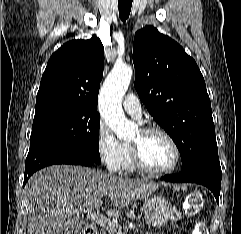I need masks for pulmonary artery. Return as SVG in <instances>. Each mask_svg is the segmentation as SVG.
I'll use <instances>...</instances> for the list:
<instances>
[{"mask_svg": "<svg viewBox=\"0 0 241 234\" xmlns=\"http://www.w3.org/2000/svg\"><path fill=\"white\" fill-rule=\"evenodd\" d=\"M123 107L125 111L136 119L141 118V103L138 97L134 93H128L123 101Z\"/></svg>", "mask_w": 241, "mask_h": 234, "instance_id": "pulmonary-artery-1", "label": "pulmonary artery"}]
</instances>
